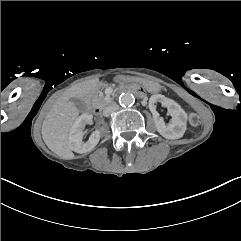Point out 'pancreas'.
Wrapping results in <instances>:
<instances>
[{
    "label": "pancreas",
    "mask_w": 241,
    "mask_h": 241,
    "mask_svg": "<svg viewBox=\"0 0 241 241\" xmlns=\"http://www.w3.org/2000/svg\"><path fill=\"white\" fill-rule=\"evenodd\" d=\"M99 99L102 101V102H98V106L99 107H104V106H106V105H108L110 102L109 101H106L105 99H104V96H103V93L102 92H100L99 93ZM97 104V103H96Z\"/></svg>",
    "instance_id": "1"
}]
</instances>
